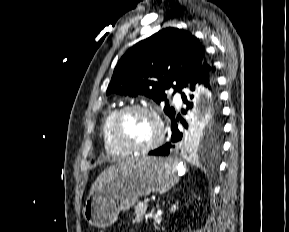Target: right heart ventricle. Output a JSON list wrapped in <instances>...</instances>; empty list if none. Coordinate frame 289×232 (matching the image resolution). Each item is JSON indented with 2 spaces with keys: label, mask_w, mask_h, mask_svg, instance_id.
I'll list each match as a JSON object with an SVG mask.
<instances>
[{
  "label": "right heart ventricle",
  "mask_w": 289,
  "mask_h": 232,
  "mask_svg": "<svg viewBox=\"0 0 289 232\" xmlns=\"http://www.w3.org/2000/svg\"><path fill=\"white\" fill-rule=\"evenodd\" d=\"M118 108L110 109L103 118L101 124V136L105 151L111 156H126L129 153L121 149L113 140L111 128L113 119L118 112Z\"/></svg>",
  "instance_id": "e07e8e85"
}]
</instances>
